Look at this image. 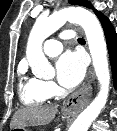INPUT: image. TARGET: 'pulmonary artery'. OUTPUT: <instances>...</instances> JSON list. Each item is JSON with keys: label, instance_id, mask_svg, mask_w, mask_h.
Returning a JSON list of instances; mask_svg holds the SVG:
<instances>
[{"label": "pulmonary artery", "instance_id": "obj_1", "mask_svg": "<svg viewBox=\"0 0 117 131\" xmlns=\"http://www.w3.org/2000/svg\"><path fill=\"white\" fill-rule=\"evenodd\" d=\"M61 39H70L72 38V34L68 32H64L60 35ZM63 49L62 43L57 39H49L45 41L43 45V50L46 55L50 57H54L58 55Z\"/></svg>", "mask_w": 117, "mask_h": 131}]
</instances>
